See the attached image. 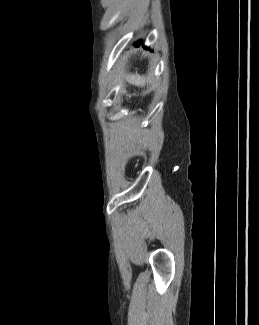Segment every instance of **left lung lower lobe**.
<instances>
[{
	"instance_id": "0a47b994",
	"label": "left lung lower lobe",
	"mask_w": 259,
	"mask_h": 325,
	"mask_svg": "<svg viewBox=\"0 0 259 325\" xmlns=\"http://www.w3.org/2000/svg\"><path fill=\"white\" fill-rule=\"evenodd\" d=\"M140 44H141V42L139 41V42L135 43L134 45L135 46H140Z\"/></svg>"
}]
</instances>
